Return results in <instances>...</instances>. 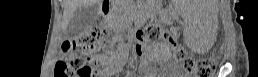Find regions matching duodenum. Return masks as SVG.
<instances>
[{"mask_svg": "<svg viewBox=\"0 0 258 77\" xmlns=\"http://www.w3.org/2000/svg\"><path fill=\"white\" fill-rule=\"evenodd\" d=\"M108 2V1H107ZM103 12V15L104 16H108L109 15V12H110V8H109V5H108V3H107V5L106 6H103V10H102Z\"/></svg>", "mask_w": 258, "mask_h": 77, "instance_id": "410a0bca", "label": "duodenum"}]
</instances>
